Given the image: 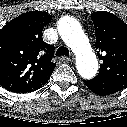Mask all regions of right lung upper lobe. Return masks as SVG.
I'll return each instance as SVG.
<instances>
[{
  "instance_id": "right-lung-upper-lobe-1",
  "label": "right lung upper lobe",
  "mask_w": 127,
  "mask_h": 127,
  "mask_svg": "<svg viewBox=\"0 0 127 127\" xmlns=\"http://www.w3.org/2000/svg\"><path fill=\"white\" fill-rule=\"evenodd\" d=\"M51 20L47 12L30 11L11 20L0 30V85L17 93L41 88L56 66L54 47L41 32Z\"/></svg>"
}]
</instances>
